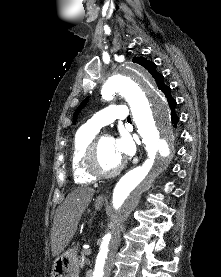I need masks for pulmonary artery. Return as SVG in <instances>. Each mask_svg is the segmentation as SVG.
Returning <instances> with one entry per match:
<instances>
[{
	"mask_svg": "<svg viewBox=\"0 0 221 277\" xmlns=\"http://www.w3.org/2000/svg\"><path fill=\"white\" fill-rule=\"evenodd\" d=\"M128 108L125 105H110L97 112L85 124L86 127L98 131L101 127L108 125L115 120H126Z\"/></svg>",
	"mask_w": 221,
	"mask_h": 277,
	"instance_id": "1",
	"label": "pulmonary artery"
}]
</instances>
